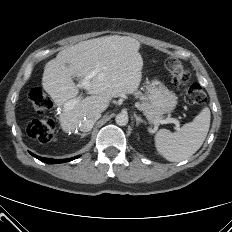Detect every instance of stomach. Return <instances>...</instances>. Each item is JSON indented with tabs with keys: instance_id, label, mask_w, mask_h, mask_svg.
Returning <instances> with one entry per match:
<instances>
[{
	"instance_id": "1",
	"label": "stomach",
	"mask_w": 232,
	"mask_h": 232,
	"mask_svg": "<svg viewBox=\"0 0 232 232\" xmlns=\"http://www.w3.org/2000/svg\"><path fill=\"white\" fill-rule=\"evenodd\" d=\"M148 100L161 114L172 112L177 105V96L160 82L148 86Z\"/></svg>"
}]
</instances>
